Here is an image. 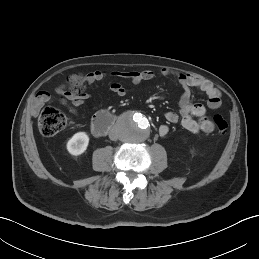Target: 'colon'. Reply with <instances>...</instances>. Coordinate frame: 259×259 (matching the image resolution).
Returning a JSON list of instances; mask_svg holds the SVG:
<instances>
[{
  "mask_svg": "<svg viewBox=\"0 0 259 259\" xmlns=\"http://www.w3.org/2000/svg\"><path fill=\"white\" fill-rule=\"evenodd\" d=\"M88 84L87 77L82 75H74L68 79V91L70 96H78L83 88ZM213 124L216 131L220 134L225 133L228 129V123L221 115L213 117ZM67 125L66 116L53 107H46L38 121L39 131L45 137H50L63 130Z\"/></svg>",
  "mask_w": 259,
  "mask_h": 259,
  "instance_id": "1",
  "label": "colon"
}]
</instances>
